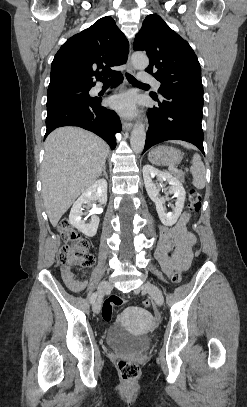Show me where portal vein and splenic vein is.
Returning <instances> with one entry per match:
<instances>
[{
	"instance_id": "1",
	"label": "portal vein and splenic vein",
	"mask_w": 247,
	"mask_h": 407,
	"mask_svg": "<svg viewBox=\"0 0 247 407\" xmlns=\"http://www.w3.org/2000/svg\"><path fill=\"white\" fill-rule=\"evenodd\" d=\"M169 170H170V171H176V169L173 168V167H170Z\"/></svg>"
}]
</instances>
